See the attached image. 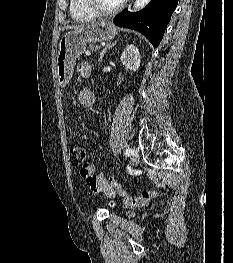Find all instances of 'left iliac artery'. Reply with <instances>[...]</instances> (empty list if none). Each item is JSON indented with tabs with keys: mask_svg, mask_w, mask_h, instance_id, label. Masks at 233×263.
<instances>
[{
	"mask_svg": "<svg viewBox=\"0 0 233 263\" xmlns=\"http://www.w3.org/2000/svg\"><path fill=\"white\" fill-rule=\"evenodd\" d=\"M132 152H133L132 149L127 148V149L125 150V155H126V156H130V155L132 154Z\"/></svg>",
	"mask_w": 233,
	"mask_h": 263,
	"instance_id": "left-iliac-artery-1",
	"label": "left iliac artery"
}]
</instances>
